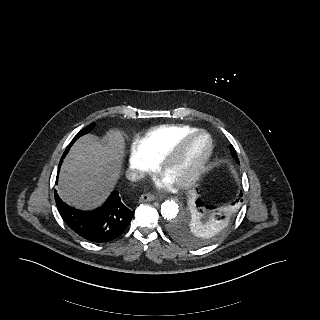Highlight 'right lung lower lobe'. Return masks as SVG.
<instances>
[{
  "mask_svg": "<svg viewBox=\"0 0 320 320\" xmlns=\"http://www.w3.org/2000/svg\"><path fill=\"white\" fill-rule=\"evenodd\" d=\"M54 194L64 222L90 242L103 243L117 238L125 231L134 216V211L122 203L118 192L111 193L100 208L87 212L68 206L59 198L56 191Z\"/></svg>",
  "mask_w": 320,
  "mask_h": 320,
  "instance_id": "right-lung-lower-lobe-1",
  "label": "right lung lower lobe"
}]
</instances>
